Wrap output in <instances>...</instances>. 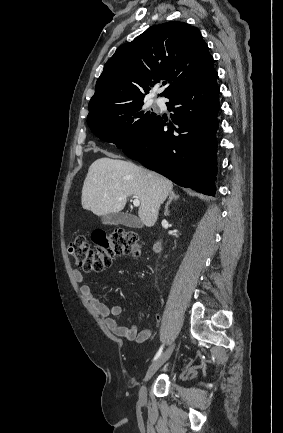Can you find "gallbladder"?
Masks as SVG:
<instances>
[{
  "mask_svg": "<svg viewBox=\"0 0 283 433\" xmlns=\"http://www.w3.org/2000/svg\"><path fill=\"white\" fill-rule=\"evenodd\" d=\"M102 223L104 225H125V227H133V229H142V221H139L135 214H128V212H109V214H102Z\"/></svg>",
  "mask_w": 283,
  "mask_h": 433,
  "instance_id": "bac80fb5",
  "label": "gallbladder"
}]
</instances>
